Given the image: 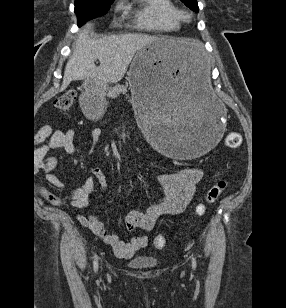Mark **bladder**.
Returning a JSON list of instances; mask_svg holds the SVG:
<instances>
[{
	"instance_id": "bladder-1",
	"label": "bladder",
	"mask_w": 286,
	"mask_h": 308,
	"mask_svg": "<svg viewBox=\"0 0 286 308\" xmlns=\"http://www.w3.org/2000/svg\"><path fill=\"white\" fill-rule=\"evenodd\" d=\"M128 264L135 269H149L156 267L158 260L154 257L139 255L128 260Z\"/></svg>"
}]
</instances>
